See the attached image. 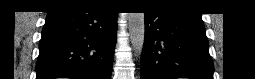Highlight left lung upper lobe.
Segmentation results:
<instances>
[{"label":"left lung upper lobe","mask_w":255,"mask_h":79,"mask_svg":"<svg viewBox=\"0 0 255 79\" xmlns=\"http://www.w3.org/2000/svg\"><path fill=\"white\" fill-rule=\"evenodd\" d=\"M162 2H164V3H175V1H173V0H165V1H162Z\"/></svg>","instance_id":"left-lung-upper-lobe-1"}]
</instances>
